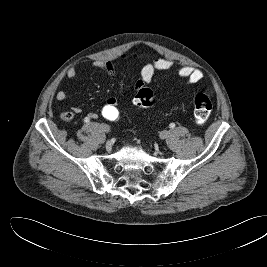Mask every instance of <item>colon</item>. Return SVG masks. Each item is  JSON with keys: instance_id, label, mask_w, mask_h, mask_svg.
<instances>
[{"instance_id": "obj_1", "label": "colon", "mask_w": 267, "mask_h": 267, "mask_svg": "<svg viewBox=\"0 0 267 267\" xmlns=\"http://www.w3.org/2000/svg\"><path fill=\"white\" fill-rule=\"evenodd\" d=\"M134 102L136 105L149 109L155 104L154 93L150 88L140 87L138 90ZM194 116L199 125L204 124L212 111V103L205 94H196L194 97ZM99 116L107 122H118L121 118V111L119 104L107 99L99 109ZM65 120L72 118L71 113L66 112L63 114Z\"/></svg>"}]
</instances>
